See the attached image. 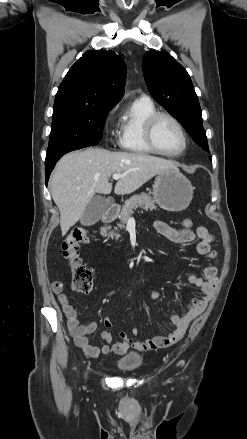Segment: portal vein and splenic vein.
<instances>
[{
    "label": "portal vein and splenic vein",
    "mask_w": 247,
    "mask_h": 439,
    "mask_svg": "<svg viewBox=\"0 0 247 439\" xmlns=\"http://www.w3.org/2000/svg\"><path fill=\"white\" fill-rule=\"evenodd\" d=\"M123 177V175H121V174H113L112 175V178L114 179V180H119L120 178H122Z\"/></svg>",
    "instance_id": "18ae733b"
}]
</instances>
